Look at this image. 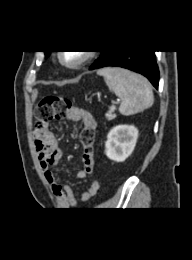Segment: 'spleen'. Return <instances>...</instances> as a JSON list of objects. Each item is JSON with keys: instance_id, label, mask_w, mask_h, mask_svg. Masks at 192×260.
I'll use <instances>...</instances> for the list:
<instances>
[{"instance_id": "obj_1", "label": "spleen", "mask_w": 192, "mask_h": 260, "mask_svg": "<svg viewBox=\"0 0 192 260\" xmlns=\"http://www.w3.org/2000/svg\"><path fill=\"white\" fill-rule=\"evenodd\" d=\"M104 77L109 90L121 99L119 112L129 116L143 112L154 103L149 81L136 73L121 68L106 67L97 71Z\"/></svg>"}]
</instances>
